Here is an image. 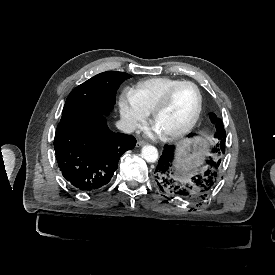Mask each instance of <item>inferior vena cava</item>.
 Segmentation results:
<instances>
[{"label": "inferior vena cava", "mask_w": 275, "mask_h": 275, "mask_svg": "<svg viewBox=\"0 0 275 275\" xmlns=\"http://www.w3.org/2000/svg\"><path fill=\"white\" fill-rule=\"evenodd\" d=\"M117 127L122 130L124 133H132L135 131L136 126L133 123H128L125 121H119Z\"/></svg>", "instance_id": "obj_1"}]
</instances>
